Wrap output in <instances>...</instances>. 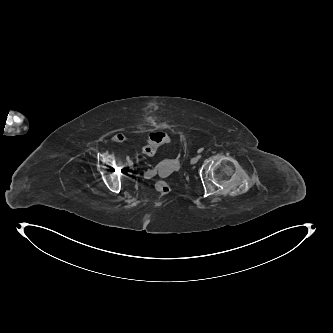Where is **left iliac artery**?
<instances>
[{
    "instance_id": "44dca946",
    "label": "left iliac artery",
    "mask_w": 333,
    "mask_h": 333,
    "mask_svg": "<svg viewBox=\"0 0 333 333\" xmlns=\"http://www.w3.org/2000/svg\"><path fill=\"white\" fill-rule=\"evenodd\" d=\"M201 151H202V149H199V150H198V152H201ZM197 157H198V158H201V155H198Z\"/></svg>"
}]
</instances>
